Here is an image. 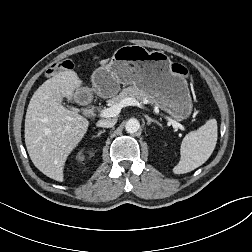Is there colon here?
Listing matches in <instances>:
<instances>
[{"mask_svg":"<svg viewBox=\"0 0 252 252\" xmlns=\"http://www.w3.org/2000/svg\"><path fill=\"white\" fill-rule=\"evenodd\" d=\"M71 68H72V63L70 61H64V62H61V63H58V64L54 65L48 71V74L53 76V75L58 74L62 70L71 69ZM172 70H173V72H175L177 74L187 75V69L181 64H178V63L173 64L172 65Z\"/></svg>","mask_w":252,"mask_h":252,"instance_id":"5ec220e1","label":"colon"}]
</instances>
